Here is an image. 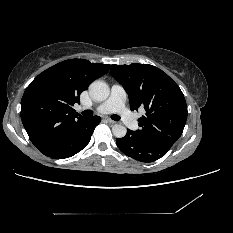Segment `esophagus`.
I'll return each instance as SVG.
<instances>
[{"mask_svg":"<svg viewBox=\"0 0 233 233\" xmlns=\"http://www.w3.org/2000/svg\"><path fill=\"white\" fill-rule=\"evenodd\" d=\"M107 122H109L110 124H114L115 123V121H113V120H111V119H109V118H106L105 119Z\"/></svg>","mask_w":233,"mask_h":233,"instance_id":"34e87169","label":"esophagus"}]
</instances>
